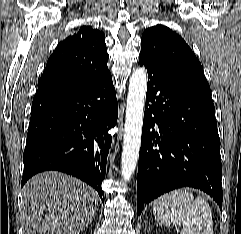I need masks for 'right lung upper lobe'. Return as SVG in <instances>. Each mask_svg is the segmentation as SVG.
I'll return each instance as SVG.
<instances>
[{
    "mask_svg": "<svg viewBox=\"0 0 241 234\" xmlns=\"http://www.w3.org/2000/svg\"><path fill=\"white\" fill-rule=\"evenodd\" d=\"M105 35L90 26L58 44L38 81L34 98L82 87L110 73Z\"/></svg>",
    "mask_w": 241,
    "mask_h": 234,
    "instance_id": "cb5924a9",
    "label": "right lung upper lobe"
}]
</instances>
